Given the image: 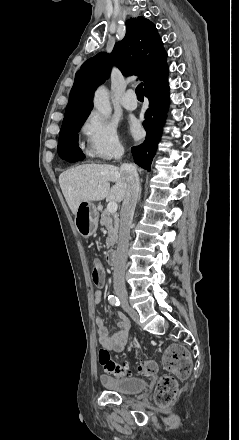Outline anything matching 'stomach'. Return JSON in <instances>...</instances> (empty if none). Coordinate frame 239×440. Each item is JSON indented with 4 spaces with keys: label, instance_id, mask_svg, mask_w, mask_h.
I'll return each mask as SVG.
<instances>
[{
    "label": "stomach",
    "instance_id": "stomach-1",
    "mask_svg": "<svg viewBox=\"0 0 239 440\" xmlns=\"http://www.w3.org/2000/svg\"><path fill=\"white\" fill-rule=\"evenodd\" d=\"M99 212L94 202H81L75 214V228L83 238L95 234L98 228Z\"/></svg>",
    "mask_w": 239,
    "mask_h": 440
}]
</instances>
